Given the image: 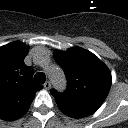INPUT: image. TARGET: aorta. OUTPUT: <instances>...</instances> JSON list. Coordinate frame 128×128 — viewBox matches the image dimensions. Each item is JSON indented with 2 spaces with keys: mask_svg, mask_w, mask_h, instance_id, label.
Returning a JSON list of instances; mask_svg holds the SVG:
<instances>
[{
  "mask_svg": "<svg viewBox=\"0 0 128 128\" xmlns=\"http://www.w3.org/2000/svg\"><path fill=\"white\" fill-rule=\"evenodd\" d=\"M48 74L54 88L59 92H63L67 87V80L63 70L56 65H52L48 70Z\"/></svg>",
  "mask_w": 128,
  "mask_h": 128,
  "instance_id": "1",
  "label": "aorta"
}]
</instances>
